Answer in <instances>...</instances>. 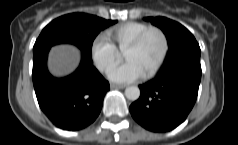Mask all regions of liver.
Here are the masks:
<instances>
[{"label": "liver", "instance_id": "liver-1", "mask_svg": "<svg viewBox=\"0 0 238 145\" xmlns=\"http://www.w3.org/2000/svg\"><path fill=\"white\" fill-rule=\"evenodd\" d=\"M80 51L71 45H58L49 55V69L54 76L71 73L79 63Z\"/></svg>", "mask_w": 238, "mask_h": 145}]
</instances>
